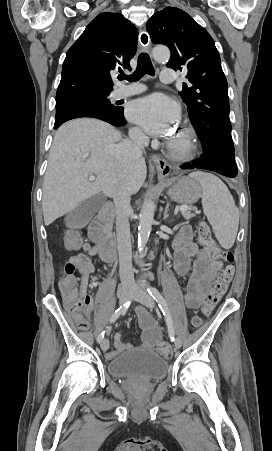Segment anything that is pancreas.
<instances>
[{
	"mask_svg": "<svg viewBox=\"0 0 272 451\" xmlns=\"http://www.w3.org/2000/svg\"><path fill=\"white\" fill-rule=\"evenodd\" d=\"M182 216L184 220H190V218H194L195 214H191V212H182Z\"/></svg>",
	"mask_w": 272,
	"mask_h": 451,
	"instance_id": "1",
	"label": "pancreas"
}]
</instances>
